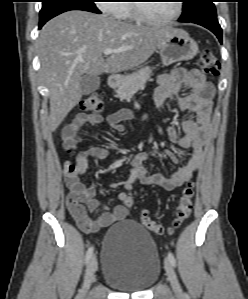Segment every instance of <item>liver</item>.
Listing matches in <instances>:
<instances>
[{"label":"liver","mask_w":248,"mask_h":299,"mask_svg":"<svg viewBox=\"0 0 248 299\" xmlns=\"http://www.w3.org/2000/svg\"><path fill=\"white\" fill-rule=\"evenodd\" d=\"M172 27L127 23L103 14L72 10L48 21L37 41L41 75L50 92V129L55 131L80 102L84 74L117 73L141 65ZM107 48L124 49L104 59Z\"/></svg>","instance_id":"6515ba94"}]
</instances>
